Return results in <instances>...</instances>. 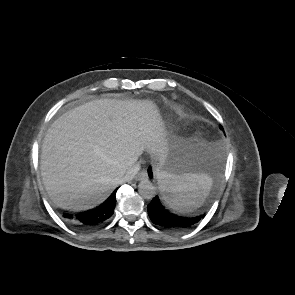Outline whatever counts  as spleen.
Listing matches in <instances>:
<instances>
[{"mask_svg": "<svg viewBox=\"0 0 295 295\" xmlns=\"http://www.w3.org/2000/svg\"><path fill=\"white\" fill-rule=\"evenodd\" d=\"M159 187L165 203L181 213H190L204 202L212 180L207 174H186L175 176L158 174Z\"/></svg>", "mask_w": 295, "mask_h": 295, "instance_id": "spleen-1", "label": "spleen"}]
</instances>
